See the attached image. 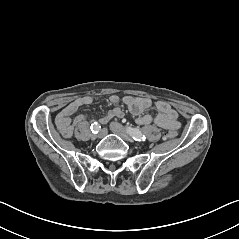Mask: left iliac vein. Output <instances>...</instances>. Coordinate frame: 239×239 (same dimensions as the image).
Returning <instances> with one entry per match:
<instances>
[{
	"label": "left iliac vein",
	"instance_id": "4c4485c4",
	"mask_svg": "<svg viewBox=\"0 0 239 239\" xmlns=\"http://www.w3.org/2000/svg\"><path fill=\"white\" fill-rule=\"evenodd\" d=\"M110 130L121 137L125 141H131V137L129 136L128 132L125 130V128L117 123V122H111L110 123Z\"/></svg>",
	"mask_w": 239,
	"mask_h": 239
}]
</instances>
